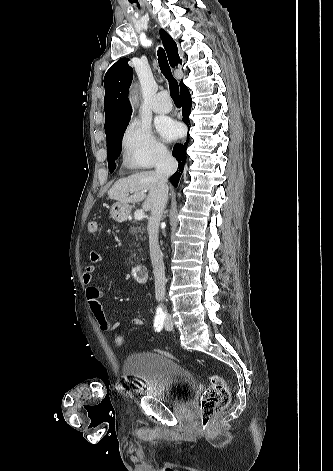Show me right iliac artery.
<instances>
[{
	"instance_id": "obj_1",
	"label": "right iliac artery",
	"mask_w": 333,
	"mask_h": 471,
	"mask_svg": "<svg viewBox=\"0 0 333 471\" xmlns=\"http://www.w3.org/2000/svg\"><path fill=\"white\" fill-rule=\"evenodd\" d=\"M164 320H165V313L157 312L154 319V327L157 332H160L162 330Z\"/></svg>"
}]
</instances>
